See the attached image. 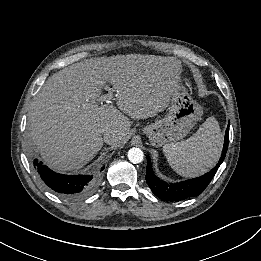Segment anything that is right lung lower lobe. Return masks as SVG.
Listing matches in <instances>:
<instances>
[{
	"label": "right lung lower lobe",
	"mask_w": 261,
	"mask_h": 261,
	"mask_svg": "<svg viewBox=\"0 0 261 261\" xmlns=\"http://www.w3.org/2000/svg\"><path fill=\"white\" fill-rule=\"evenodd\" d=\"M43 182L54 192L67 199H79L89 195L96 185L93 175H63L50 170L37 159L33 161ZM104 167L101 168L103 170Z\"/></svg>",
	"instance_id": "obj_1"
}]
</instances>
